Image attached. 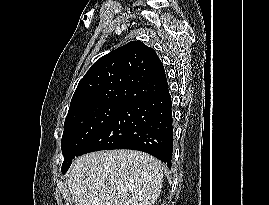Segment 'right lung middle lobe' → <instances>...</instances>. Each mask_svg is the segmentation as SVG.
<instances>
[{"label": "right lung middle lobe", "mask_w": 269, "mask_h": 205, "mask_svg": "<svg viewBox=\"0 0 269 205\" xmlns=\"http://www.w3.org/2000/svg\"><path fill=\"white\" fill-rule=\"evenodd\" d=\"M126 107L124 104L100 103L83 106L67 114L61 140L63 174L87 142Z\"/></svg>", "instance_id": "dd1d6c3e"}]
</instances>
